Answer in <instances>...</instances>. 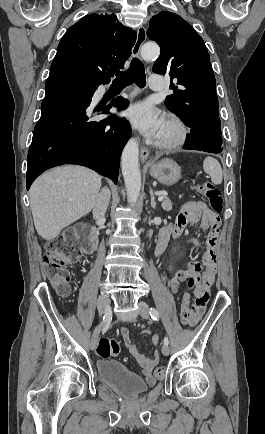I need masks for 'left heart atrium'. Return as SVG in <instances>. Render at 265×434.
Returning a JSON list of instances; mask_svg holds the SVG:
<instances>
[{
    "mask_svg": "<svg viewBox=\"0 0 265 434\" xmlns=\"http://www.w3.org/2000/svg\"><path fill=\"white\" fill-rule=\"evenodd\" d=\"M126 116L136 129L155 140L161 138L166 127L160 111L146 101L132 104Z\"/></svg>",
    "mask_w": 265,
    "mask_h": 434,
    "instance_id": "39dd6f15",
    "label": "left heart atrium"
}]
</instances>
